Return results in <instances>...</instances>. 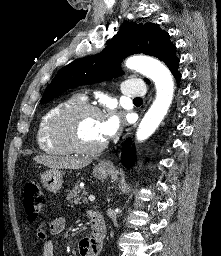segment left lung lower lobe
Segmentation results:
<instances>
[{
	"label": "left lung lower lobe",
	"instance_id": "0a47b994",
	"mask_svg": "<svg viewBox=\"0 0 221 256\" xmlns=\"http://www.w3.org/2000/svg\"><path fill=\"white\" fill-rule=\"evenodd\" d=\"M173 75L175 76L177 82L180 81V74L179 72L176 70L173 72ZM131 140L129 139L124 147H123V151H122V155H121V160H122V164L125 167H132L133 163L135 162V149L134 146L131 147Z\"/></svg>",
	"mask_w": 221,
	"mask_h": 256
}]
</instances>
